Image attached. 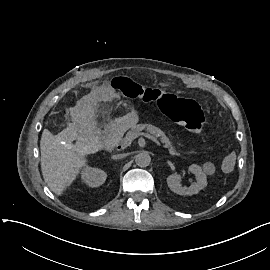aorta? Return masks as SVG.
Here are the masks:
<instances>
[{"label": "aorta", "instance_id": "obj_1", "mask_svg": "<svg viewBox=\"0 0 270 270\" xmlns=\"http://www.w3.org/2000/svg\"><path fill=\"white\" fill-rule=\"evenodd\" d=\"M135 162L140 167H147L151 162V157L147 152H142L135 156Z\"/></svg>", "mask_w": 270, "mask_h": 270}]
</instances>
